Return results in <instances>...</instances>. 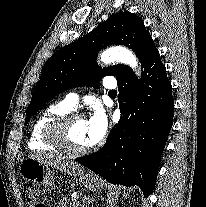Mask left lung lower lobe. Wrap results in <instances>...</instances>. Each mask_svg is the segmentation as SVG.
I'll return each mask as SVG.
<instances>
[{"label":"left lung lower lobe","mask_w":206,"mask_h":207,"mask_svg":"<svg viewBox=\"0 0 206 207\" xmlns=\"http://www.w3.org/2000/svg\"><path fill=\"white\" fill-rule=\"evenodd\" d=\"M141 84L131 71L117 80L121 118L102 149L79 163L113 184L138 185L147 197L173 123L172 86L155 45L141 58Z\"/></svg>","instance_id":"obj_1"}]
</instances>
